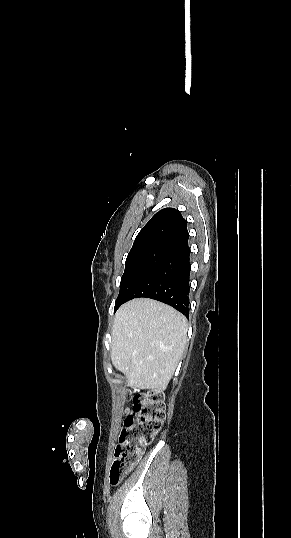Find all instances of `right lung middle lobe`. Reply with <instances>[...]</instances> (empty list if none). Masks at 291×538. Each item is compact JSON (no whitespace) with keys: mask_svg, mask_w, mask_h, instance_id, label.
<instances>
[{"mask_svg":"<svg viewBox=\"0 0 291 538\" xmlns=\"http://www.w3.org/2000/svg\"><path fill=\"white\" fill-rule=\"evenodd\" d=\"M170 252L171 249L168 248L150 247L132 251L128 254L114 312L128 301L130 294L141 280Z\"/></svg>","mask_w":291,"mask_h":538,"instance_id":"obj_1","label":"right lung middle lobe"}]
</instances>
